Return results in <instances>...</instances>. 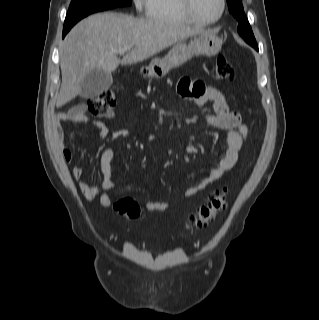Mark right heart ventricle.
I'll return each mask as SVG.
<instances>
[{
	"label": "right heart ventricle",
	"instance_id": "1",
	"mask_svg": "<svg viewBox=\"0 0 319 320\" xmlns=\"http://www.w3.org/2000/svg\"><path fill=\"white\" fill-rule=\"evenodd\" d=\"M152 20L168 24H192L182 9L180 0H151L147 10Z\"/></svg>",
	"mask_w": 319,
	"mask_h": 320
}]
</instances>
